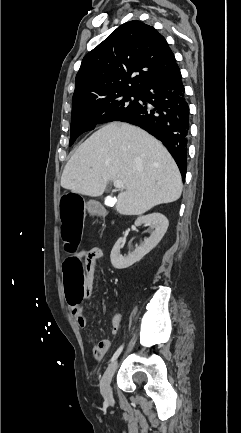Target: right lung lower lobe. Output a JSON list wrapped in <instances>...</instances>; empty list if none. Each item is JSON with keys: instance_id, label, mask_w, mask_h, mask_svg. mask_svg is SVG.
Here are the masks:
<instances>
[{"instance_id": "right-lung-lower-lobe-1", "label": "right lung lower lobe", "mask_w": 241, "mask_h": 433, "mask_svg": "<svg viewBox=\"0 0 241 433\" xmlns=\"http://www.w3.org/2000/svg\"><path fill=\"white\" fill-rule=\"evenodd\" d=\"M139 92L142 102L120 121L137 125L162 141L185 177L189 106L178 65L152 79Z\"/></svg>"}]
</instances>
